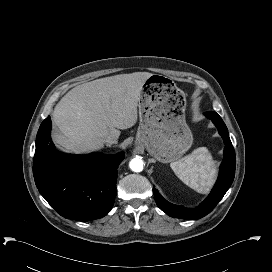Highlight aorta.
<instances>
[{"instance_id": "aorta-1", "label": "aorta", "mask_w": 272, "mask_h": 272, "mask_svg": "<svg viewBox=\"0 0 272 272\" xmlns=\"http://www.w3.org/2000/svg\"><path fill=\"white\" fill-rule=\"evenodd\" d=\"M129 167L134 172H141L143 170V160L140 157L133 158L129 163Z\"/></svg>"}]
</instances>
